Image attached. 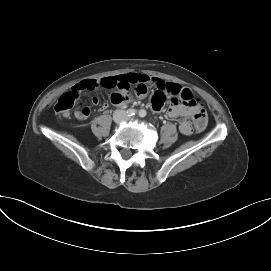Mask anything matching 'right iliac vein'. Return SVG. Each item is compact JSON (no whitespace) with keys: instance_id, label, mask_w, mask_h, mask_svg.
<instances>
[{"instance_id":"obj_1","label":"right iliac vein","mask_w":271,"mask_h":271,"mask_svg":"<svg viewBox=\"0 0 271 271\" xmlns=\"http://www.w3.org/2000/svg\"><path fill=\"white\" fill-rule=\"evenodd\" d=\"M114 121L119 123L123 119V114L122 113H117L114 115Z\"/></svg>"}]
</instances>
